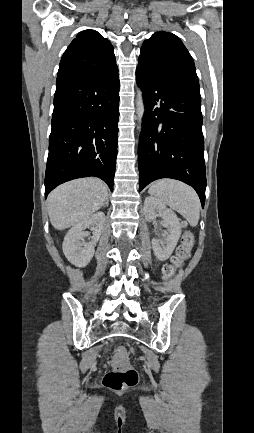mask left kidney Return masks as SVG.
<instances>
[{"label": "left kidney", "mask_w": 254, "mask_h": 433, "mask_svg": "<svg viewBox=\"0 0 254 433\" xmlns=\"http://www.w3.org/2000/svg\"><path fill=\"white\" fill-rule=\"evenodd\" d=\"M157 212L162 214L163 226L167 228L166 239L160 242L158 239H152V248L155 256L161 260H167L174 248L176 247L181 235V226L179 218L171 210L166 208L165 204L159 199L148 196L144 201V215L147 221L152 222L156 218Z\"/></svg>", "instance_id": "obj_1"}]
</instances>
